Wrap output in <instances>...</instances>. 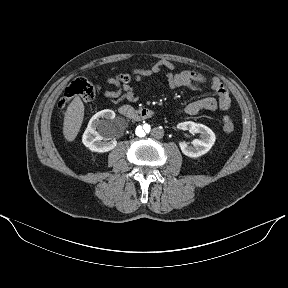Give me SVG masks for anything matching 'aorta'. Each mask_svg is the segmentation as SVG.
I'll return each instance as SVG.
<instances>
[{"mask_svg":"<svg viewBox=\"0 0 288 288\" xmlns=\"http://www.w3.org/2000/svg\"><path fill=\"white\" fill-rule=\"evenodd\" d=\"M150 131H151V126L147 122H142V123L138 124L136 127V132L140 136H145V135L149 134Z\"/></svg>","mask_w":288,"mask_h":288,"instance_id":"aorta-1","label":"aorta"}]
</instances>
